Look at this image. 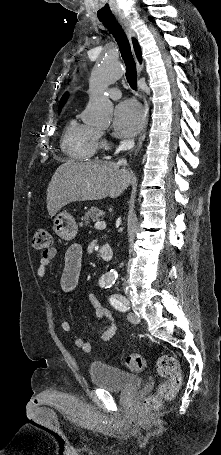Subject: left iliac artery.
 I'll list each match as a JSON object with an SVG mask.
<instances>
[{
  "mask_svg": "<svg viewBox=\"0 0 221 455\" xmlns=\"http://www.w3.org/2000/svg\"><path fill=\"white\" fill-rule=\"evenodd\" d=\"M109 301L112 306H114L117 310L125 312L128 310L129 301L120 294H113L110 296Z\"/></svg>",
  "mask_w": 221,
  "mask_h": 455,
  "instance_id": "44dca946",
  "label": "left iliac artery"
}]
</instances>
